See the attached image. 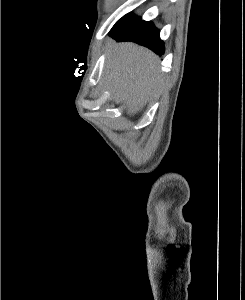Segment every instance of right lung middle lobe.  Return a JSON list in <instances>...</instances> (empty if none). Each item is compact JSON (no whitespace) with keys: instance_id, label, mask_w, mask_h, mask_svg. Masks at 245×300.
Segmentation results:
<instances>
[{"instance_id":"dd1d6c3e","label":"right lung middle lobe","mask_w":245,"mask_h":300,"mask_svg":"<svg viewBox=\"0 0 245 300\" xmlns=\"http://www.w3.org/2000/svg\"><path fill=\"white\" fill-rule=\"evenodd\" d=\"M140 20V17L132 16L131 13L125 15L114 25V27L111 30V35L120 34L124 32Z\"/></svg>"}]
</instances>
